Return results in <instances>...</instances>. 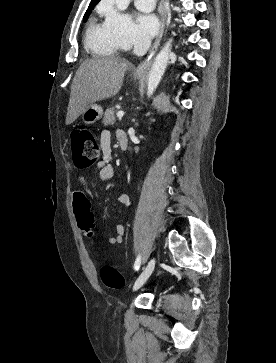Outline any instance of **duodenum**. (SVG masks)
I'll return each instance as SVG.
<instances>
[{"label":"duodenum","instance_id":"obj_1","mask_svg":"<svg viewBox=\"0 0 276 363\" xmlns=\"http://www.w3.org/2000/svg\"><path fill=\"white\" fill-rule=\"evenodd\" d=\"M117 139L122 151H126L128 147V139L124 131L117 134Z\"/></svg>","mask_w":276,"mask_h":363}]
</instances>
